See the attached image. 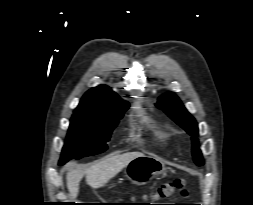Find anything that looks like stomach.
I'll use <instances>...</instances> for the list:
<instances>
[{
  "label": "stomach",
  "instance_id": "obj_1",
  "mask_svg": "<svg viewBox=\"0 0 253 205\" xmlns=\"http://www.w3.org/2000/svg\"><path fill=\"white\" fill-rule=\"evenodd\" d=\"M166 170L165 164L152 156H139L125 168V177L134 184L144 185L152 177Z\"/></svg>",
  "mask_w": 253,
  "mask_h": 205
}]
</instances>
